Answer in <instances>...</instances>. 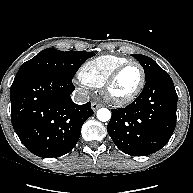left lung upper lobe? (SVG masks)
Returning a JSON list of instances; mask_svg holds the SVG:
<instances>
[{
    "mask_svg": "<svg viewBox=\"0 0 193 193\" xmlns=\"http://www.w3.org/2000/svg\"><path fill=\"white\" fill-rule=\"evenodd\" d=\"M133 57L136 58L143 66L145 79L149 78L153 73L161 69V67L154 60L145 55L133 54Z\"/></svg>",
    "mask_w": 193,
    "mask_h": 193,
    "instance_id": "obj_1",
    "label": "left lung upper lobe"
}]
</instances>
